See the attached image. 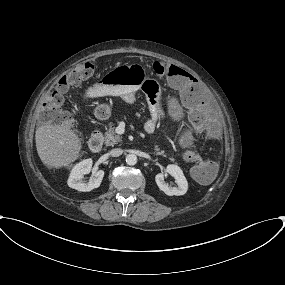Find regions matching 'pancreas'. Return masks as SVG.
Masks as SVG:
<instances>
[{
    "label": "pancreas",
    "mask_w": 285,
    "mask_h": 285,
    "mask_svg": "<svg viewBox=\"0 0 285 285\" xmlns=\"http://www.w3.org/2000/svg\"><path fill=\"white\" fill-rule=\"evenodd\" d=\"M104 141L107 146H113L121 141V137L116 134L113 124H110L109 128L106 130L104 134ZM154 150L157 155L166 156L164 151H160L157 145L155 146Z\"/></svg>",
    "instance_id": "pancreas-1"
}]
</instances>
